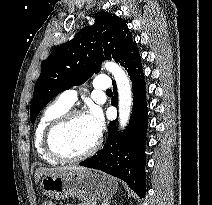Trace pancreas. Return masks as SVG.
I'll use <instances>...</instances> for the list:
<instances>
[{"instance_id": "pancreas-1", "label": "pancreas", "mask_w": 212, "mask_h": 205, "mask_svg": "<svg viewBox=\"0 0 212 205\" xmlns=\"http://www.w3.org/2000/svg\"><path fill=\"white\" fill-rule=\"evenodd\" d=\"M69 205V204H68ZM78 205H95L94 203L92 202H84V203H81V204H78Z\"/></svg>"}]
</instances>
